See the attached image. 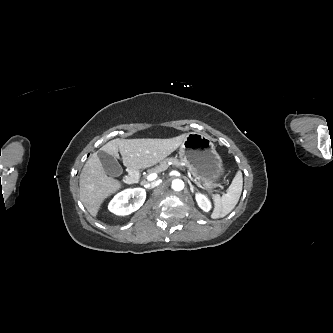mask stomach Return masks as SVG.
I'll use <instances>...</instances> for the list:
<instances>
[{
    "instance_id": "obj_1",
    "label": "stomach",
    "mask_w": 333,
    "mask_h": 333,
    "mask_svg": "<svg viewBox=\"0 0 333 333\" xmlns=\"http://www.w3.org/2000/svg\"><path fill=\"white\" fill-rule=\"evenodd\" d=\"M179 156L202 180H210L216 186L223 177L221 157L207 134L188 133L180 146Z\"/></svg>"
}]
</instances>
